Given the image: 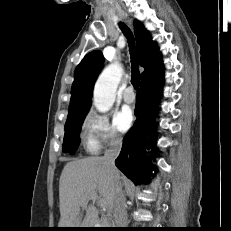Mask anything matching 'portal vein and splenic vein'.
I'll use <instances>...</instances> for the list:
<instances>
[{"mask_svg": "<svg viewBox=\"0 0 231 231\" xmlns=\"http://www.w3.org/2000/svg\"><path fill=\"white\" fill-rule=\"evenodd\" d=\"M88 199H89V200H92L93 202H97V203L99 204L100 207H103L102 201L99 200L97 194L91 195Z\"/></svg>", "mask_w": 231, "mask_h": 231, "instance_id": "18ae733b", "label": "portal vein and splenic vein"}]
</instances>
